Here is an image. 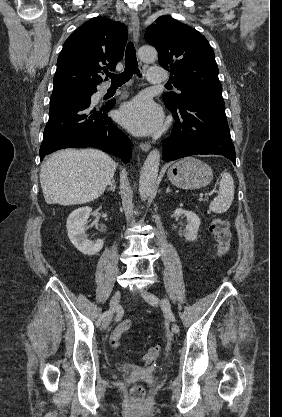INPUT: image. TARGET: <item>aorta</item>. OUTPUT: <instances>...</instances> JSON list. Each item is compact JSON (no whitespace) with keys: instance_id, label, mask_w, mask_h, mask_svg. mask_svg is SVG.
I'll return each instance as SVG.
<instances>
[{"instance_id":"aorta-1","label":"aorta","mask_w":282,"mask_h":417,"mask_svg":"<svg viewBox=\"0 0 282 417\" xmlns=\"http://www.w3.org/2000/svg\"><path fill=\"white\" fill-rule=\"evenodd\" d=\"M138 56L141 60H156L158 52L154 46H141L138 50ZM160 164L159 150H151L149 152L140 172L139 178V194L142 200L148 198L154 184L156 182Z\"/></svg>"}]
</instances>
